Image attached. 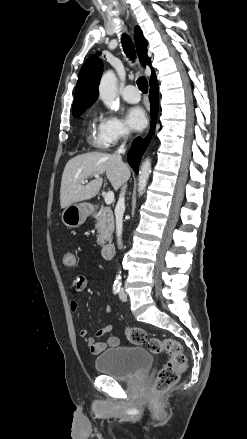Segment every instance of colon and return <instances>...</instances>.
I'll list each match as a JSON object with an SVG mask.
<instances>
[{
  "label": "colon",
  "mask_w": 247,
  "mask_h": 439,
  "mask_svg": "<svg viewBox=\"0 0 247 439\" xmlns=\"http://www.w3.org/2000/svg\"><path fill=\"white\" fill-rule=\"evenodd\" d=\"M63 263L66 267H75L77 258L72 252H66L63 256ZM125 334L130 343L134 345L146 344L152 353L166 352L167 362L159 371L153 384L155 394L167 391L178 382L187 368V357L177 341L149 338L147 333L140 327H129Z\"/></svg>",
  "instance_id": "obj_1"
}]
</instances>
